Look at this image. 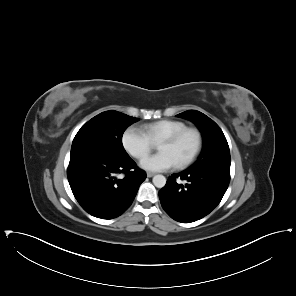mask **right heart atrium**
I'll return each instance as SVG.
<instances>
[{
	"instance_id": "d8ad5b80",
	"label": "right heart atrium",
	"mask_w": 296,
	"mask_h": 296,
	"mask_svg": "<svg viewBox=\"0 0 296 296\" xmlns=\"http://www.w3.org/2000/svg\"><path fill=\"white\" fill-rule=\"evenodd\" d=\"M126 150L134 157L144 158L155 148L152 140L142 131L128 130L123 138Z\"/></svg>"
}]
</instances>
